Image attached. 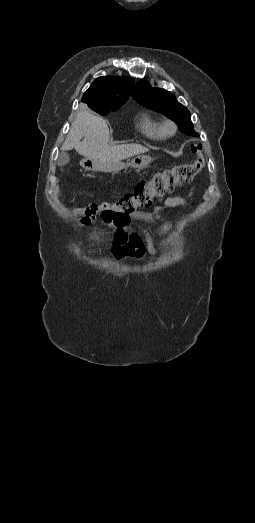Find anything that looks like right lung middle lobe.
I'll use <instances>...</instances> for the list:
<instances>
[{"mask_svg":"<svg viewBox=\"0 0 255 523\" xmlns=\"http://www.w3.org/2000/svg\"><path fill=\"white\" fill-rule=\"evenodd\" d=\"M124 103L125 102L95 104L90 105L89 108L99 113L100 115L105 116L111 111H116L117 109H119Z\"/></svg>","mask_w":255,"mask_h":523,"instance_id":"obj_1","label":"right lung middle lobe"}]
</instances>
